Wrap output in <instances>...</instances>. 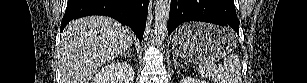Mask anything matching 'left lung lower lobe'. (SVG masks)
I'll list each match as a JSON object with an SVG mask.
<instances>
[{"mask_svg": "<svg viewBox=\"0 0 307 83\" xmlns=\"http://www.w3.org/2000/svg\"><path fill=\"white\" fill-rule=\"evenodd\" d=\"M185 21L226 24L239 33L234 0H171L168 34Z\"/></svg>", "mask_w": 307, "mask_h": 83, "instance_id": "obj_1", "label": "left lung lower lobe"}]
</instances>
